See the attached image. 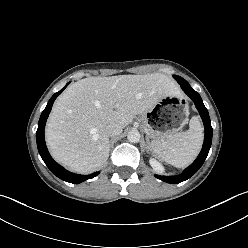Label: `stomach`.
I'll use <instances>...</instances> for the list:
<instances>
[{"mask_svg": "<svg viewBox=\"0 0 248 248\" xmlns=\"http://www.w3.org/2000/svg\"><path fill=\"white\" fill-rule=\"evenodd\" d=\"M188 106L180 94L165 95L148 112L142 115V122L147 132V138L153 144L168 139L179 131L188 121Z\"/></svg>", "mask_w": 248, "mask_h": 248, "instance_id": "0dacf381", "label": "stomach"}]
</instances>
